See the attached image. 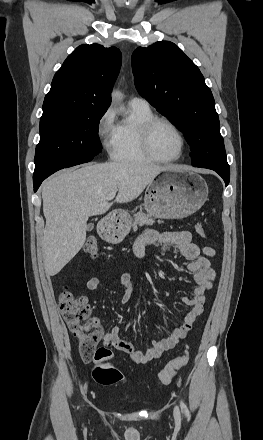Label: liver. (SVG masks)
<instances>
[{
    "label": "liver",
    "mask_w": 263,
    "mask_h": 440,
    "mask_svg": "<svg viewBox=\"0 0 263 440\" xmlns=\"http://www.w3.org/2000/svg\"><path fill=\"white\" fill-rule=\"evenodd\" d=\"M174 166L143 162H108L64 170L42 184L46 225L42 252L46 274L54 276L75 257L86 240L90 216L104 214L118 191L117 203L136 199L157 175Z\"/></svg>",
    "instance_id": "obj_1"
}]
</instances>
